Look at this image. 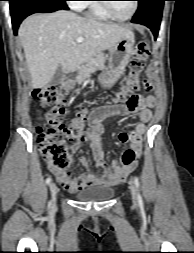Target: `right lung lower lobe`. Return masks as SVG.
I'll return each instance as SVG.
<instances>
[{
	"label": "right lung lower lobe",
	"mask_w": 194,
	"mask_h": 253,
	"mask_svg": "<svg viewBox=\"0 0 194 253\" xmlns=\"http://www.w3.org/2000/svg\"><path fill=\"white\" fill-rule=\"evenodd\" d=\"M67 10L66 0H16L10 2L11 19L14 33L21 21L36 12H54Z\"/></svg>",
	"instance_id": "1"
}]
</instances>
